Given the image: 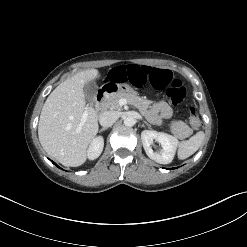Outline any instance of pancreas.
Listing matches in <instances>:
<instances>
[{
  "label": "pancreas",
  "mask_w": 247,
  "mask_h": 247,
  "mask_svg": "<svg viewBox=\"0 0 247 247\" xmlns=\"http://www.w3.org/2000/svg\"><path fill=\"white\" fill-rule=\"evenodd\" d=\"M125 99L127 102L136 106L140 113L146 118L150 119L148 108L152 101L139 97L137 93L117 92L106 97V105L113 110H120L119 101ZM170 131L180 139L189 137L192 129L183 121H172L170 124Z\"/></svg>",
  "instance_id": "1"
}]
</instances>
